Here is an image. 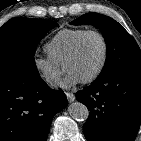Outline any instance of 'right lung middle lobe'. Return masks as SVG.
Wrapping results in <instances>:
<instances>
[{"mask_svg":"<svg viewBox=\"0 0 141 141\" xmlns=\"http://www.w3.org/2000/svg\"><path fill=\"white\" fill-rule=\"evenodd\" d=\"M58 24L51 20L13 18L0 28V72L38 73L34 54L40 39Z\"/></svg>","mask_w":141,"mask_h":141,"instance_id":"obj_1","label":"right lung middle lobe"}]
</instances>
